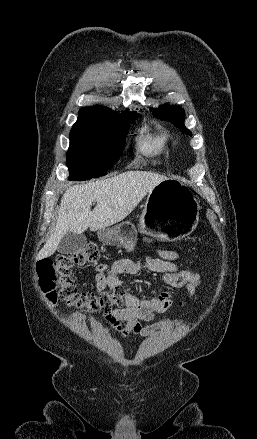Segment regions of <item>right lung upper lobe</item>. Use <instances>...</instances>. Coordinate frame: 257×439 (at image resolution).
Listing matches in <instances>:
<instances>
[{
  "mask_svg": "<svg viewBox=\"0 0 257 439\" xmlns=\"http://www.w3.org/2000/svg\"><path fill=\"white\" fill-rule=\"evenodd\" d=\"M135 113L134 112H124L122 114H118L105 106H93V107H85L79 111V119H103L109 121H118L126 117L127 114Z\"/></svg>",
  "mask_w": 257,
  "mask_h": 439,
  "instance_id": "obj_1",
  "label": "right lung upper lobe"
}]
</instances>
